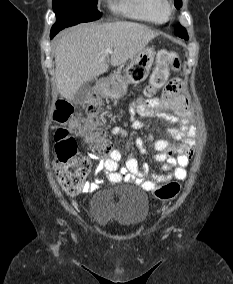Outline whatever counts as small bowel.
<instances>
[{"label":"small bowel","instance_id":"c3829d8e","mask_svg":"<svg viewBox=\"0 0 233 284\" xmlns=\"http://www.w3.org/2000/svg\"><path fill=\"white\" fill-rule=\"evenodd\" d=\"M132 127L139 129L143 123L135 118V115L165 119L175 126L168 129L167 133L174 139L180 140L179 144H171L168 140L160 139L152 141L156 151L155 159L162 164L157 172H151V180L144 179L150 173L148 164L139 165L134 156L129 157L122 168L119 162L122 154L118 150H112L106 156L99 158L90 154L89 159L99 162L98 170L105 173L106 179L111 184L122 181L138 184L146 191H152L159 185H164L174 180L186 178L188 166L195 150V128L191 124L189 100L185 94L184 84L181 79L171 80L163 90L160 98L139 99L130 106ZM83 133V130H80ZM112 135L127 137L128 133L121 127L111 128ZM136 146L140 152H144L143 142L136 139ZM100 182H87L80 192L88 193L99 188Z\"/></svg>","mask_w":233,"mask_h":284}]
</instances>
